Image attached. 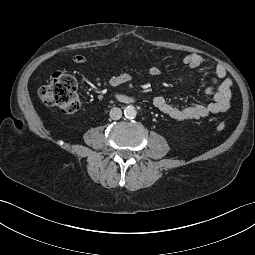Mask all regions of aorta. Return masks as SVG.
Returning a JSON list of instances; mask_svg holds the SVG:
<instances>
[{"label":"aorta","instance_id":"obj_1","mask_svg":"<svg viewBox=\"0 0 255 255\" xmlns=\"http://www.w3.org/2000/svg\"><path fill=\"white\" fill-rule=\"evenodd\" d=\"M136 115H137V111L134 106L129 105L124 109V116L127 119H134Z\"/></svg>","mask_w":255,"mask_h":255}]
</instances>
